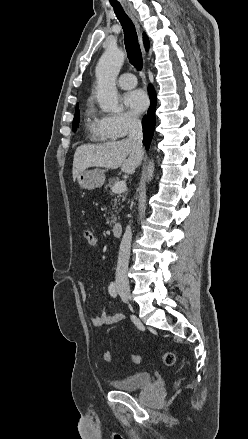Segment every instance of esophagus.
<instances>
[{"label":"esophagus","instance_id":"esophagus-1","mask_svg":"<svg viewBox=\"0 0 248 439\" xmlns=\"http://www.w3.org/2000/svg\"><path fill=\"white\" fill-rule=\"evenodd\" d=\"M128 11H129V13H130V15H131V17H132V19H133V21H134V23H135L137 29H138V31H139V41H140V45H141V49H142L143 55L145 56V48H144V46H143L142 35H141V33H140L139 24H138V22H137V19L135 18V16H134L133 13L131 12V10L128 9Z\"/></svg>","mask_w":248,"mask_h":439}]
</instances>
